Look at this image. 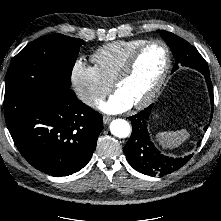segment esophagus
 Masks as SVG:
<instances>
[{
  "label": "esophagus",
  "instance_id": "1",
  "mask_svg": "<svg viewBox=\"0 0 221 221\" xmlns=\"http://www.w3.org/2000/svg\"><path fill=\"white\" fill-rule=\"evenodd\" d=\"M113 118L110 116H104L103 117V123L108 124Z\"/></svg>",
  "mask_w": 221,
  "mask_h": 221
}]
</instances>
